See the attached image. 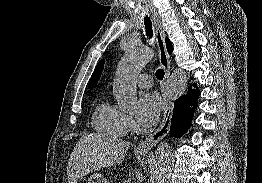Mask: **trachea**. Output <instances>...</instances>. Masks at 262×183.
<instances>
[{
	"instance_id": "obj_1",
	"label": "trachea",
	"mask_w": 262,
	"mask_h": 183,
	"mask_svg": "<svg viewBox=\"0 0 262 183\" xmlns=\"http://www.w3.org/2000/svg\"><path fill=\"white\" fill-rule=\"evenodd\" d=\"M144 24H145V29H146V34L149 37V39H152L153 37V30H152V22L148 15L144 17ZM156 77L158 80H162L164 77V70L163 69H158L156 71Z\"/></svg>"
}]
</instances>
